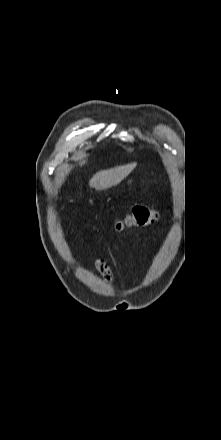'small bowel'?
<instances>
[{"label":"small bowel","instance_id":"obj_1","mask_svg":"<svg viewBox=\"0 0 221 440\" xmlns=\"http://www.w3.org/2000/svg\"><path fill=\"white\" fill-rule=\"evenodd\" d=\"M95 269L107 284L113 285L114 283L113 270L105 258H99L95 261Z\"/></svg>","mask_w":221,"mask_h":440}]
</instances>
